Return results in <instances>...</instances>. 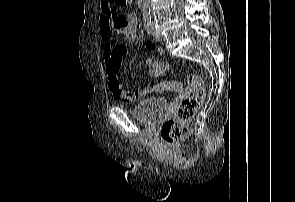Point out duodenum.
I'll return each mask as SVG.
<instances>
[{
    "label": "duodenum",
    "instance_id": "obj_1",
    "mask_svg": "<svg viewBox=\"0 0 295 202\" xmlns=\"http://www.w3.org/2000/svg\"><path fill=\"white\" fill-rule=\"evenodd\" d=\"M144 1H145V0H137L138 4H139L140 6L144 4Z\"/></svg>",
    "mask_w": 295,
    "mask_h": 202
}]
</instances>
